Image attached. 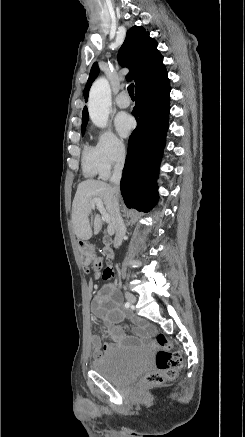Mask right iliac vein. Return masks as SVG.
<instances>
[{"label": "right iliac vein", "instance_id": "obj_1", "mask_svg": "<svg viewBox=\"0 0 245 437\" xmlns=\"http://www.w3.org/2000/svg\"><path fill=\"white\" fill-rule=\"evenodd\" d=\"M125 297H126L127 301L131 304H134L136 302V297L132 293L126 292Z\"/></svg>", "mask_w": 245, "mask_h": 437}]
</instances>
